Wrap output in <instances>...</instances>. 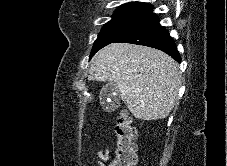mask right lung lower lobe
<instances>
[{"label":"right lung lower lobe","instance_id":"right-lung-lower-lobe-1","mask_svg":"<svg viewBox=\"0 0 227 166\" xmlns=\"http://www.w3.org/2000/svg\"><path fill=\"white\" fill-rule=\"evenodd\" d=\"M116 42L153 47L164 51L172 56L177 62L181 61L175 42L170 37L168 31L159 24V19L155 14L111 43Z\"/></svg>","mask_w":227,"mask_h":166}]
</instances>
